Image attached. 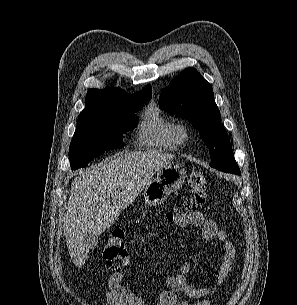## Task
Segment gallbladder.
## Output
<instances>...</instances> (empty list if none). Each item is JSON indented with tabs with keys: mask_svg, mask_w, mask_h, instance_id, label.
Returning <instances> with one entry per match:
<instances>
[{
	"mask_svg": "<svg viewBox=\"0 0 297 305\" xmlns=\"http://www.w3.org/2000/svg\"><path fill=\"white\" fill-rule=\"evenodd\" d=\"M84 241L89 250H94L98 245V235L85 234Z\"/></svg>",
	"mask_w": 297,
	"mask_h": 305,
	"instance_id": "1",
	"label": "gallbladder"
}]
</instances>
